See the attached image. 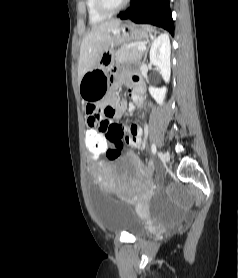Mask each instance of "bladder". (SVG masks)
I'll return each mask as SVG.
<instances>
[{"label": "bladder", "instance_id": "obj_1", "mask_svg": "<svg viewBox=\"0 0 238 278\" xmlns=\"http://www.w3.org/2000/svg\"><path fill=\"white\" fill-rule=\"evenodd\" d=\"M93 208L96 218L108 233H127L135 237L144 235L147 230V223L139 217L135 208L130 203L117 204V198L100 192L99 186L90 181Z\"/></svg>", "mask_w": 238, "mask_h": 278}]
</instances>
